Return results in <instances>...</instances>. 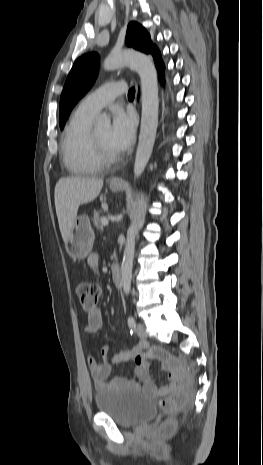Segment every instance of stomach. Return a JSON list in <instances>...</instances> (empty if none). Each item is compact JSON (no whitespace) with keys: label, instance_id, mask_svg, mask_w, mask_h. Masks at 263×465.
I'll return each instance as SVG.
<instances>
[{"label":"stomach","instance_id":"stomach-1","mask_svg":"<svg viewBox=\"0 0 263 465\" xmlns=\"http://www.w3.org/2000/svg\"><path fill=\"white\" fill-rule=\"evenodd\" d=\"M113 192L122 189V185L110 186ZM95 235L90 219L86 215L76 217L65 242L66 252L74 259H84L92 250Z\"/></svg>","mask_w":263,"mask_h":465}]
</instances>
